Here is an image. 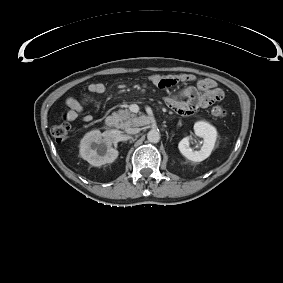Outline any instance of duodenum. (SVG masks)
<instances>
[{"label":"duodenum","mask_w":283,"mask_h":283,"mask_svg":"<svg viewBox=\"0 0 283 283\" xmlns=\"http://www.w3.org/2000/svg\"><path fill=\"white\" fill-rule=\"evenodd\" d=\"M105 125L108 127V128H114L115 125H116V119L115 117L113 116H107L106 119H105Z\"/></svg>","instance_id":"obj_1"}]
</instances>
